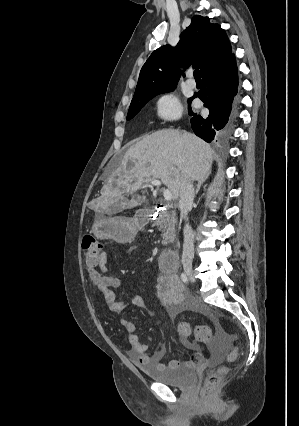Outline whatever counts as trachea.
Returning <instances> with one entry per match:
<instances>
[{
  "instance_id": "obj_1",
  "label": "trachea",
  "mask_w": 299,
  "mask_h": 426,
  "mask_svg": "<svg viewBox=\"0 0 299 426\" xmlns=\"http://www.w3.org/2000/svg\"><path fill=\"white\" fill-rule=\"evenodd\" d=\"M194 78H195V80H201V78H200V71L198 69H196L194 71Z\"/></svg>"
}]
</instances>
